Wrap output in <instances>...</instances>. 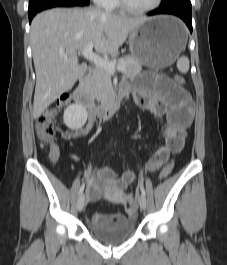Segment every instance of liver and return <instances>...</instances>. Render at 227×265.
Masks as SVG:
<instances>
[{"instance_id": "liver-1", "label": "liver", "mask_w": 227, "mask_h": 265, "mask_svg": "<svg viewBox=\"0 0 227 265\" xmlns=\"http://www.w3.org/2000/svg\"><path fill=\"white\" fill-rule=\"evenodd\" d=\"M147 19L98 8H57L36 15L30 37L36 71L33 117L38 118L81 78L87 65L77 53L92 42L96 52L114 55L127 36Z\"/></svg>"}]
</instances>
